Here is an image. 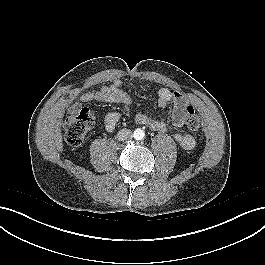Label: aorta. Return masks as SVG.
Segmentation results:
<instances>
[{
  "label": "aorta",
  "instance_id": "obj_1",
  "mask_svg": "<svg viewBox=\"0 0 265 265\" xmlns=\"http://www.w3.org/2000/svg\"><path fill=\"white\" fill-rule=\"evenodd\" d=\"M144 136H145V133H144L143 130H141V129H136V130L134 131V138H135L136 140H142V139L144 138Z\"/></svg>",
  "mask_w": 265,
  "mask_h": 265
}]
</instances>
